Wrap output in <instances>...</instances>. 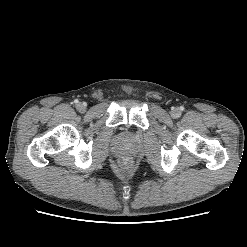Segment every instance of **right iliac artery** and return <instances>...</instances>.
Returning <instances> with one entry per match:
<instances>
[{
    "instance_id": "right-iliac-artery-1",
    "label": "right iliac artery",
    "mask_w": 247,
    "mask_h": 247,
    "mask_svg": "<svg viewBox=\"0 0 247 247\" xmlns=\"http://www.w3.org/2000/svg\"><path fill=\"white\" fill-rule=\"evenodd\" d=\"M74 102H75V103H78V100H75Z\"/></svg>"
}]
</instances>
